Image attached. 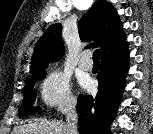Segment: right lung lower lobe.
<instances>
[{"label": "right lung lower lobe", "instance_id": "obj_1", "mask_svg": "<svg viewBox=\"0 0 153 134\" xmlns=\"http://www.w3.org/2000/svg\"><path fill=\"white\" fill-rule=\"evenodd\" d=\"M101 59L96 97L82 94L78 97L80 134H110V125L116 116L128 71L127 42L103 53Z\"/></svg>", "mask_w": 153, "mask_h": 134}]
</instances>
